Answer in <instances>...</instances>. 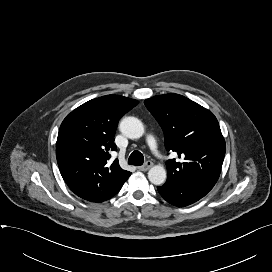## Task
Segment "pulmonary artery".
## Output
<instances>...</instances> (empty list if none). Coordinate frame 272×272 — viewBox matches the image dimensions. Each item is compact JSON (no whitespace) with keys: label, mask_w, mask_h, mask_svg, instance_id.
Instances as JSON below:
<instances>
[{"label":"pulmonary artery","mask_w":272,"mask_h":272,"mask_svg":"<svg viewBox=\"0 0 272 272\" xmlns=\"http://www.w3.org/2000/svg\"><path fill=\"white\" fill-rule=\"evenodd\" d=\"M147 143H148L150 149H151L154 153H157V142H156L155 137H154L152 134H149V135L147 136Z\"/></svg>","instance_id":"obj_1"}]
</instances>
